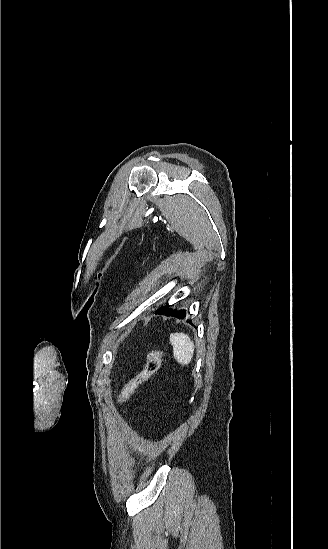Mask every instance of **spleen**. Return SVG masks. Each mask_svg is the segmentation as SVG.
<instances>
[{"instance_id": "3e777b00", "label": "spleen", "mask_w": 328, "mask_h": 549, "mask_svg": "<svg viewBox=\"0 0 328 549\" xmlns=\"http://www.w3.org/2000/svg\"><path fill=\"white\" fill-rule=\"evenodd\" d=\"M170 343L173 347V355L180 365H189L194 353V343L185 333H171Z\"/></svg>"}]
</instances>
